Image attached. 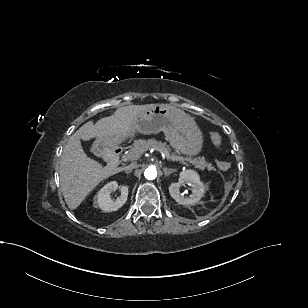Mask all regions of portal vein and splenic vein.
<instances>
[{
	"instance_id": "obj_1",
	"label": "portal vein and splenic vein",
	"mask_w": 308,
	"mask_h": 308,
	"mask_svg": "<svg viewBox=\"0 0 308 308\" xmlns=\"http://www.w3.org/2000/svg\"><path fill=\"white\" fill-rule=\"evenodd\" d=\"M161 154H162L163 157H166V159H169V160H172V161H179V162H181L183 164H186V162H184L185 160H183V159L176 158V157L170 156L168 154H164L163 152H161Z\"/></svg>"
}]
</instances>
